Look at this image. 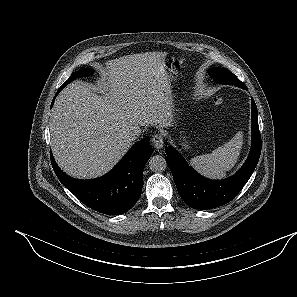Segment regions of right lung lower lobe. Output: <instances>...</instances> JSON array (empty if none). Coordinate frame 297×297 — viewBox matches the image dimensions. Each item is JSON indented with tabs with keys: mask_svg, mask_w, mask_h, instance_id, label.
<instances>
[{
	"mask_svg": "<svg viewBox=\"0 0 297 297\" xmlns=\"http://www.w3.org/2000/svg\"><path fill=\"white\" fill-rule=\"evenodd\" d=\"M64 87L61 86L56 95ZM151 154L149 140L144 138L133 145L110 172L90 180L69 177L57 166L52 154L50 156L58 179L81 202L97 212L120 215L127 212L138 201L142 192L143 169Z\"/></svg>",
	"mask_w": 297,
	"mask_h": 297,
	"instance_id": "right-lung-lower-lobe-1",
	"label": "right lung lower lobe"
}]
</instances>
